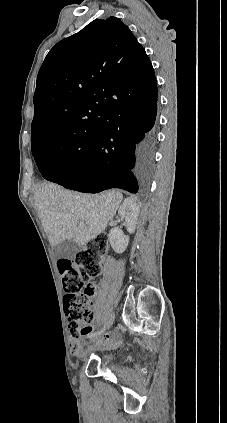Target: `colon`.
<instances>
[{
    "label": "colon",
    "mask_w": 227,
    "mask_h": 423,
    "mask_svg": "<svg viewBox=\"0 0 227 423\" xmlns=\"http://www.w3.org/2000/svg\"><path fill=\"white\" fill-rule=\"evenodd\" d=\"M107 248V236L99 234L90 241L88 248L78 252L73 259L58 262L65 292L64 312L71 339L76 338L93 319L90 302L92 287L88 281L100 275Z\"/></svg>",
    "instance_id": "obj_1"
}]
</instances>
